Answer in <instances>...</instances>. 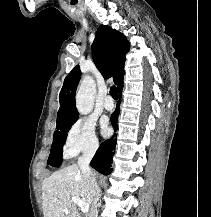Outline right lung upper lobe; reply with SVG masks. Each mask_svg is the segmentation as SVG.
<instances>
[{"label":"right lung upper lobe","instance_id":"cb5924a9","mask_svg":"<svg viewBox=\"0 0 211 217\" xmlns=\"http://www.w3.org/2000/svg\"><path fill=\"white\" fill-rule=\"evenodd\" d=\"M128 51L129 42L122 33L105 25L99 26L92 44V57L103 77H114L118 89L123 87L125 54ZM80 77V68L76 66L64 80L59 95L57 127L78 119L75 92Z\"/></svg>","mask_w":211,"mask_h":217}]
</instances>
